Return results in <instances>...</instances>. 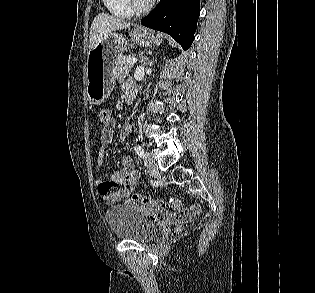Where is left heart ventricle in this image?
<instances>
[{
    "label": "left heart ventricle",
    "mask_w": 315,
    "mask_h": 293,
    "mask_svg": "<svg viewBox=\"0 0 315 293\" xmlns=\"http://www.w3.org/2000/svg\"><path fill=\"white\" fill-rule=\"evenodd\" d=\"M137 1H138V3H140V4H145V3L148 2V0H137Z\"/></svg>",
    "instance_id": "1"
}]
</instances>
